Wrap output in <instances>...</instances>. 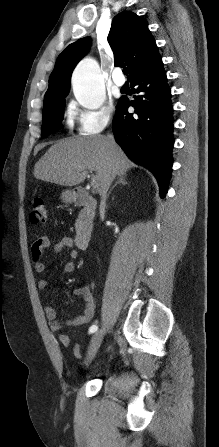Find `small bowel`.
Instances as JSON below:
<instances>
[{
	"mask_svg": "<svg viewBox=\"0 0 219 447\" xmlns=\"http://www.w3.org/2000/svg\"><path fill=\"white\" fill-rule=\"evenodd\" d=\"M51 245L50 239L46 235L38 237L32 245V254L34 258V269L37 273H42L46 269L45 262L41 259L43 251ZM54 249L57 252L63 250H69L68 257L69 260L65 263L62 269V275L70 274L75 270V260L79 256V252L74 248V242L71 237L61 238L55 245ZM47 286V281L45 279H40L37 282V287L39 290H44ZM75 296L80 297L84 300L85 306L83 313L67 321H59L57 319V311L51 306L45 308V316L49 322L50 330L57 332L63 327H79L88 324L95 313V301L91 293L90 287L85 284L79 286L73 290ZM60 340L65 347L70 346L71 339L68 335H61ZM74 355L76 357L81 356V348L76 345L73 348Z\"/></svg>",
	"mask_w": 219,
	"mask_h": 447,
	"instance_id": "obj_1",
	"label": "small bowel"
}]
</instances>
